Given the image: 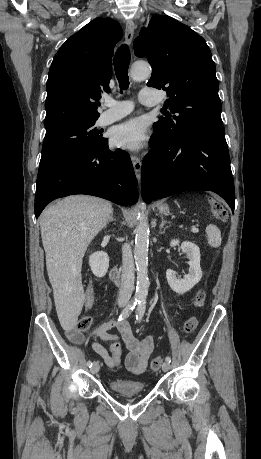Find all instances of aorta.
<instances>
[{"mask_svg":"<svg viewBox=\"0 0 261 459\" xmlns=\"http://www.w3.org/2000/svg\"><path fill=\"white\" fill-rule=\"evenodd\" d=\"M151 76V67L148 63L133 64L130 77L133 81H143ZM143 205V204H142ZM134 258L137 267V286L135 298L143 301L146 299L149 287L148 280V245L149 225L144 212L138 213V223L135 229Z\"/></svg>","mask_w":261,"mask_h":459,"instance_id":"762f6f07","label":"aorta"}]
</instances>
